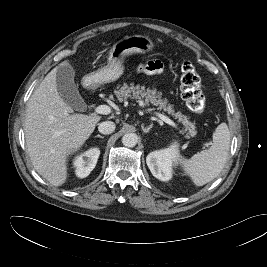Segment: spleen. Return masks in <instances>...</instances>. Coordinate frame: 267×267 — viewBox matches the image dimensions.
<instances>
[{"label": "spleen", "instance_id": "spleen-1", "mask_svg": "<svg viewBox=\"0 0 267 267\" xmlns=\"http://www.w3.org/2000/svg\"><path fill=\"white\" fill-rule=\"evenodd\" d=\"M230 132L226 123L217 126L209 149L193 155L190 159L176 154L175 162L190 176L196 186H203L222 171L229 153Z\"/></svg>", "mask_w": 267, "mask_h": 267}]
</instances>
